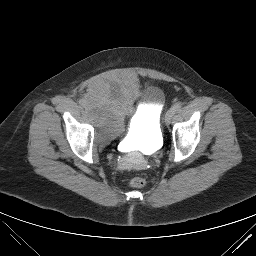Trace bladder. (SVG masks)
<instances>
[{"label": "bladder", "instance_id": "bladder-1", "mask_svg": "<svg viewBox=\"0 0 256 256\" xmlns=\"http://www.w3.org/2000/svg\"><path fill=\"white\" fill-rule=\"evenodd\" d=\"M141 98L145 104L134 117L126 136L146 147L157 146L162 138L163 90L156 86L142 88L136 79L116 75L99 79L85 97V108L96 139L108 143L121 136L126 115L134 112Z\"/></svg>", "mask_w": 256, "mask_h": 256}]
</instances>
